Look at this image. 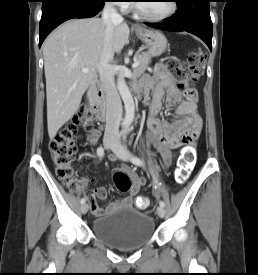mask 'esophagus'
Segmentation results:
<instances>
[{"label":"esophagus","mask_w":258,"mask_h":275,"mask_svg":"<svg viewBox=\"0 0 258 275\" xmlns=\"http://www.w3.org/2000/svg\"><path fill=\"white\" fill-rule=\"evenodd\" d=\"M134 27H135L136 29L140 28V26H139V25H137V24H136V25H134Z\"/></svg>","instance_id":"34e87169"}]
</instances>
